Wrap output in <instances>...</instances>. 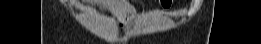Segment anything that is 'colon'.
Wrapping results in <instances>:
<instances>
[{
  "instance_id": "1",
  "label": "colon",
  "mask_w": 261,
  "mask_h": 44,
  "mask_svg": "<svg viewBox=\"0 0 261 44\" xmlns=\"http://www.w3.org/2000/svg\"><path fill=\"white\" fill-rule=\"evenodd\" d=\"M161 6H170V1H161Z\"/></svg>"
}]
</instances>
